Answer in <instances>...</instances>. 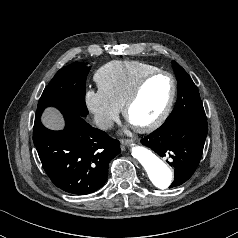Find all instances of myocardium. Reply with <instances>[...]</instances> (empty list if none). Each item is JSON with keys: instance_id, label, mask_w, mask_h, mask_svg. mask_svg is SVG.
<instances>
[{"instance_id": "1", "label": "myocardium", "mask_w": 238, "mask_h": 238, "mask_svg": "<svg viewBox=\"0 0 238 238\" xmlns=\"http://www.w3.org/2000/svg\"><path fill=\"white\" fill-rule=\"evenodd\" d=\"M157 76H166L169 79L170 85H171L170 96H169V99H168L164 109L162 110V112L159 114V116L155 120H153L149 124H146L143 126H134L133 125L134 129L139 133H148V132L154 131L159 126H161L163 124V122L167 119V117L169 116L171 109L173 107L174 101H175L177 86H176V82H175L173 75L167 71L156 70V71L151 72V73L145 75L144 77H142L137 82V84L134 86L133 90L131 91V93L129 94V96L127 97V99L125 100V102L122 106V113H123L124 118L127 121H129L128 115H129V111H130L131 107L134 105V103L139 98V96H140L143 88L147 84V82Z\"/></svg>"}]
</instances>
